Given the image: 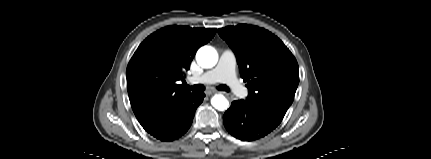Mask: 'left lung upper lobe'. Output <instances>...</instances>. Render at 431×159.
Here are the masks:
<instances>
[{"instance_id": "left-lung-upper-lobe-1", "label": "left lung upper lobe", "mask_w": 431, "mask_h": 159, "mask_svg": "<svg viewBox=\"0 0 431 159\" xmlns=\"http://www.w3.org/2000/svg\"><path fill=\"white\" fill-rule=\"evenodd\" d=\"M218 33L236 55L249 90L246 103L284 116L299 84L298 63L290 50L277 36L253 25L228 26Z\"/></svg>"}]
</instances>
